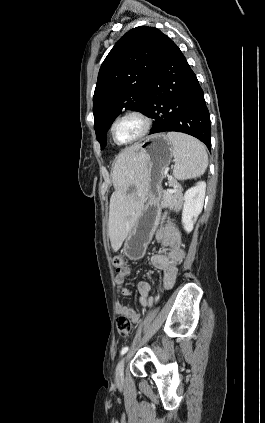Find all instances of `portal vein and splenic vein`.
<instances>
[{
    "instance_id": "18ae733b",
    "label": "portal vein and splenic vein",
    "mask_w": 265,
    "mask_h": 423,
    "mask_svg": "<svg viewBox=\"0 0 265 423\" xmlns=\"http://www.w3.org/2000/svg\"><path fill=\"white\" fill-rule=\"evenodd\" d=\"M168 180H171V178H169ZM171 193L176 192V190H169Z\"/></svg>"
}]
</instances>
